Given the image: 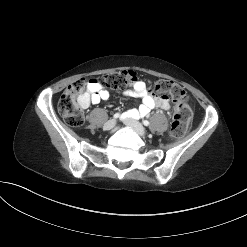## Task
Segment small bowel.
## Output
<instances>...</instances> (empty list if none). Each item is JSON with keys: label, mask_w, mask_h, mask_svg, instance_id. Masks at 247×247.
I'll use <instances>...</instances> for the list:
<instances>
[{"label": "small bowel", "mask_w": 247, "mask_h": 247, "mask_svg": "<svg viewBox=\"0 0 247 247\" xmlns=\"http://www.w3.org/2000/svg\"><path fill=\"white\" fill-rule=\"evenodd\" d=\"M86 105L89 103L98 104L102 100H107L110 96L108 90L103 88L94 79L86 81ZM124 94L138 98L141 100V105L138 108L130 109L126 112V115L133 118H140L147 116L154 108H160L163 110L170 109V101L166 95H154L149 93L148 85L139 80L136 75L129 82V88L124 91Z\"/></svg>", "instance_id": "small-bowel-1"}]
</instances>
